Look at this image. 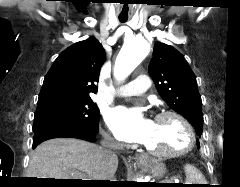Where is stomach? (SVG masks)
Listing matches in <instances>:
<instances>
[{"label": "stomach", "instance_id": "obj_1", "mask_svg": "<svg viewBox=\"0 0 240 187\" xmlns=\"http://www.w3.org/2000/svg\"><path fill=\"white\" fill-rule=\"evenodd\" d=\"M145 168H147L154 177L161 178L166 173V166L164 163L155 160L150 159L148 164L144 165Z\"/></svg>", "mask_w": 240, "mask_h": 187}]
</instances>
